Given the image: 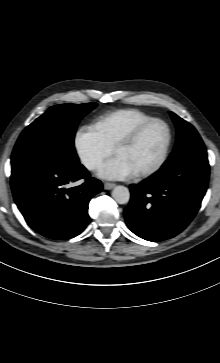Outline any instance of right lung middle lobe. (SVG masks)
Instances as JSON below:
<instances>
[{"label":"right lung middle lobe","mask_w":220,"mask_h":363,"mask_svg":"<svg viewBox=\"0 0 220 363\" xmlns=\"http://www.w3.org/2000/svg\"><path fill=\"white\" fill-rule=\"evenodd\" d=\"M96 106V103H85L50 107L21 133L11 156L12 170L36 160L79 165L74 148L76 127Z\"/></svg>","instance_id":"dd1d6c3e"}]
</instances>
